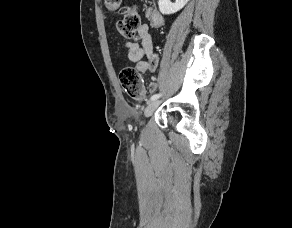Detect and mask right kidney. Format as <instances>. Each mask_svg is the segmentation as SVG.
Returning a JSON list of instances; mask_svg holds the SVG:
<instances>
[{
  "label": "right kidney",
  "instance_id": "1",
  "mask_svg": "<svg viewBox=\"0 0 292 228\" xmlns=\"http://www.w3.org/2000/svg\"><path fill=\"white\" fill-rule=\"evenodd\" d=\"M189 0H176L175 3H171L170 0H159L158 6L162 14L169 15L181 10Z\"/></svg>",
  "mask_w": 292,
  "mask_h": 228
}]
</instances>
